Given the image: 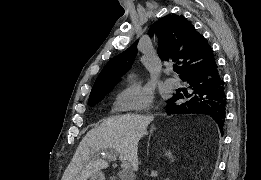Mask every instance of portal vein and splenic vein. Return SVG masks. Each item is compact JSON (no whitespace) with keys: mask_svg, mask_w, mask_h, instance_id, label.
Instances as JSON below:
<instances>
[{"mask_svg":"<svg viewBox=\"0 0 261 180\" xmlns=\"http://www.w3.org/2000/svg\"><path fill=\"white\" fill-rule=\"evenodd\" d=\"M113 152H115V154H118V152H116V150H113ZM122 164H124V166H122L123 170H128V162H122Z\"/></svg>","mask_w":261,"mask_h":180,"instance_id":"18ae733b","label":"portal vein and splenic vein"}]
</instances>
